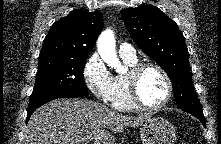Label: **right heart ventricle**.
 Segmentation results:
<instances>
[{"mask_svg": "<svg viewBox=\"0 0 221 144\" xmlns=\"http://www.w3.org/2000/svg\"><path fill=\"white\" fill-rule=\"evenodd\" d=\"M124 63L129 67L137 64V59L122 58ZM115 93L111 100L112 106L118 110L131 111L136 107L132 104L129 94L126 74H118L114 76Z\"/></svg>", "mask_w": 221, "mask_h": 144, "instance_id": "right-heart-ventricle-1", "label": "right heart ventricle"}]
</instances>
